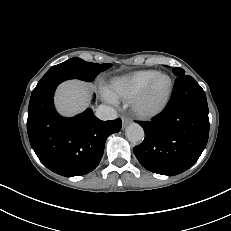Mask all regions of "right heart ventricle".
<instances>
[{
  "instance_id": "1",
  "label": "right heart ventricle",
  "mask_w": 231,
  "mask_h": 231,
  "mask_svg": "<svg viewBox=\"0 0 231 231\" xmlns=\"http://www.w3.org/2000/svg\"><path fill=\"white\" fill-rule=\"evenodd\" d=\"M155 70H138L113 78L105 87V96L112 100H127L138 94L156 75Z\"/></svg>"
}]
</instances>
